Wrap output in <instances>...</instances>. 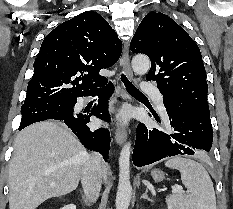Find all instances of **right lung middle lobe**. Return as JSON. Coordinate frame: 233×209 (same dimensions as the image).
<instances>
[{
  "label": "right lung middle lobe",
  "instance_id": "obj_1",
  "mask_svg": "<svg viewBox=\"0 0 233 209\" xmlns=\"http://www.w3.org/2000/svg\"><path fill=\"white\" fill-rule=\"evenodd\" d=\"M75 100H46L24 103L21 107V124L28 126L32 123L65 117L73 112Z\"/></svg>",
  "mask_w": 233,
  "mask_h": 209
}]
</instances>
